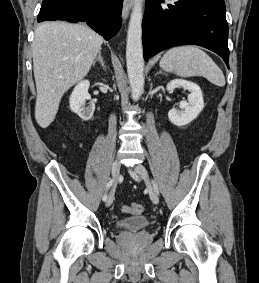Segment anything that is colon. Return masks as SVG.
Wrapping results in <instances>:
<instances>
[{"instance_id":"obj_1","label":"colon","mask_w":259,"mask_h":283,"mask_svg":"<svg viewBox=\"0 0 259 283\" xmlns=\"http://www.w3.org/2000/svg\"><path fill=\"white\" fill-rule=\"evenodd\" d=\"M122 210H123V212H126V213H133V214H136V215H140V214L143 213L144 207H143L142 204L133 203V204L124 206Z\"/></svg>"}]
</instances>
